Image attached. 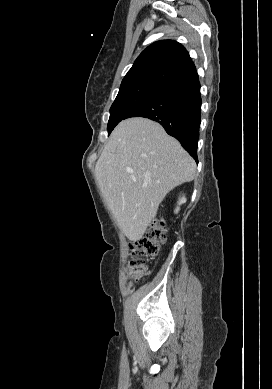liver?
<instances>
[{"instance_id":"1","label":"liver","mask_w":272,"mask_h":389,"mask_svg":"<svg viewBox=\"0 0 272 389\" xmlns=\"http://www.w3.org/2000/svg\"><path fill=\"white\" fill-rule=\"evenodd\" d=\"M95 175L119 228L137 241L165 196L195 178L196 163L160 124L135 117L113 130Z\"/></svg>"}]
</instances>
